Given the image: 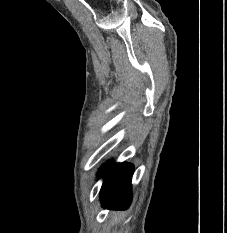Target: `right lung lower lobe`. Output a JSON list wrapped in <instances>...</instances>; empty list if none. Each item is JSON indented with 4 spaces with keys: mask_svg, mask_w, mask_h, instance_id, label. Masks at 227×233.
Listing matches in <instances>:
<instances>
[{
    "mask_svg": "<svg viewBox=\"0 0 227 233\" xmlns=\"http://www.w3.org/2000/svg\"><path fill=\"white\" fill-rule=\"evenodd\" d=\"M134 167L128 163L104 164L99 173L103 177L100 198L103 207L125 209L131 202V178Z\"/></svg>",
    "mask_w": 227,
    "mask_h": 233,
    "instance_id": "1",
    "label": "right lung lower lobe"
}]
</instances>
